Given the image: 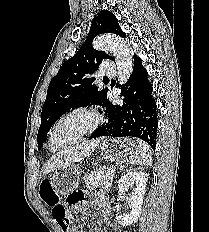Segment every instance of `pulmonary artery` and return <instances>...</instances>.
<instances>
[{
    "mask_svg": "<svg viewBox=\"0 0 209 232\" xmlns=\"http://www.w3.org/2000/svg\"><path fill=\"white\" fill-rule=\"evenodd\" d=\"M115 66L112 63H106L101 70L102 75L113 76L115 74Z\"/></svg>",
    "mask_w": 209,
    "mask_h": 232,
    "instance_id": "e3ab8cb5",
    "label": "pulmonary artery"
}]
</instances>
